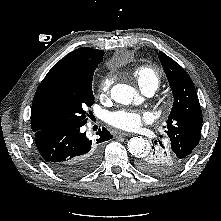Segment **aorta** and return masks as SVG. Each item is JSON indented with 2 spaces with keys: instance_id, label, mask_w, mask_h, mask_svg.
Here are the masks:
<instances>
[{
  "instance_id": "762f6f07",
  "label": "aorta",
  "mask_w": 221,
  "mask_h": 221,
  "mask_svg": "<svg viewBox=\"0 0 221 221\" xmlns=\"http://www.w3.org/2000/svg\"><path fill=\"white\" fill-rule=\"evenodd\" d=\"M111 98L120 104L129 105L137 98V91L126 84L114 85L111 89ZM128 150L135 157H142L149 152V145L147 141L141 136L133 137L128 141Z\"/></svg>"
}]
</instances>
